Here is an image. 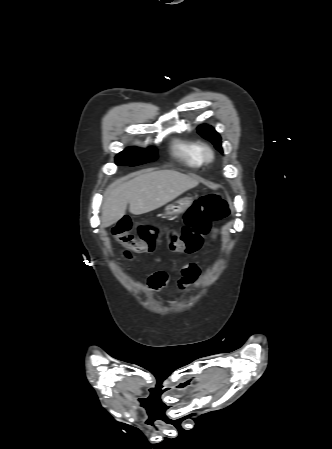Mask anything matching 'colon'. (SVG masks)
Listing matches in <instances>:
<instances>
[{"label": "colon", "mask_w": 332, "mask_h": 449, "mask_svg": "<svg viewBox=\"0 0 332 449\" xmlns=\"http://www.w3.org/2000/svg\"><path fill=\"white\" fill-rule=\"evenodd\" d=\"M229 213L227 203L220 195L212 193L201 197L185 213V224L180 231H170L168 244L171 251L191 255L199 251L203 239L211 231V224L225 218ZM152 227L140 225L133 232L130 220H119L112 229L114 237L125 246V256L131 253L152 252L157 235Z\"/></svg>", "instance_id": "colon-1"}]
</instances>
